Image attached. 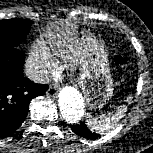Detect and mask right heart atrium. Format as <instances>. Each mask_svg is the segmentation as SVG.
I'll list each match as a JSON object with an SVG mask.
<instances>
[{"label": "right heart atrium", "mask_w": 153, "mask_h": 153, "mask_svg": "<svg viewBox=\"0 0 153 153\" xmlns=\"http://www.w3.org/2000/svg\"><path fill=\"white\" fill-rule=\"evenodd\" d=\"M27 66L32 75L41 80L53 71L55 64L49 52L40 43H36L29 52Z\"/></svg>", "instance_id": "obj_1"}]
</instances>
